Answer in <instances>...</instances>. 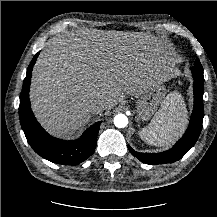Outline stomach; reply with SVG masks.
Here are the masks:
<instances>
[{
	"mask_svg": "<svg viewBox=\"0 0 217 217\" xmlns=\"http://www.w3.org/2000/svg\"><path fill=\"white\" fill-rule=\"evenodd\" d=\"M166 89L162 84H154L143 88L137 96L136 110L138 119L147 121L156 112L158 106L164 102Z\"/></svg>",
	"mask_w": 217,
	"mask_h": 217,
	"instance_id": "stomach-1",
	"label": "stomach"
}]
</instances>
